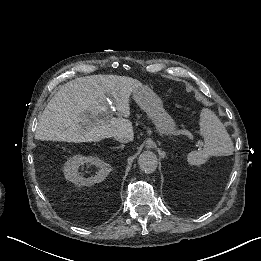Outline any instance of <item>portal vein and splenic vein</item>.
<instances>
[{"label":"portal vein and splenic vein","instance_id":"18ae733b","mask_svg":"<svg viewBox=\"0 0 261 261\" xmlns=\"http://www.w3.org/2000/svg\"><path fill=\"white\" fill-rule=\"evenodd\" d=\"M110 118H111V115H105L101 119L109 120ZM85 125L91 126V125H95V123L92 121H88V123H86ZM182 133L188 134V138H191V141H196V136H193V133H189L187 130H183ZM199 145H204V140H199Z\"/></svg>","mask_w":261,"mask_h":261}]
</instances>
